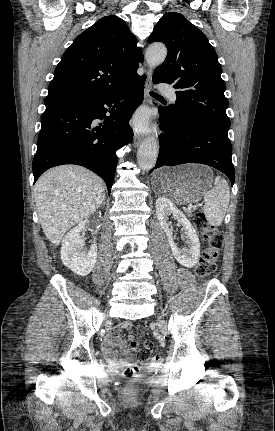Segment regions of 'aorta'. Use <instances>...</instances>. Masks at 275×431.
I'll return each instance as SVG.
<instances>
[{
  "mask_svg": "<svg viewBox=\"0 0 275 431\" xmlns=\"http://www.w3.org/2000/svg\"><path fill=\"white\" fill-rule=\"evenodd\" d=\"M167 56V49L162 44H153L148 47L145 53L147 64L155 68L162 64ZM159 147L154 137H149L143 141L137 152V162L143 171H149L156 163Z\"/></svg>",
  "mask_w": 275,
  "mask_h": 431,
  "instance_id": "762f6f07",
  "label": "aorta"
}]
</instances>
